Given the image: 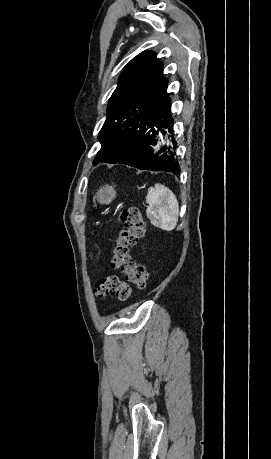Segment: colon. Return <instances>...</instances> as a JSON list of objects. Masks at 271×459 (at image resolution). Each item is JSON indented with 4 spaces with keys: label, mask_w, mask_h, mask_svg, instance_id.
I'll list each match as a JSON object with an SVG mask.
<instances>
[{
    "label": "colon",
    "mask_w": 271,
    "mask_h": 459,
    "mask_svg": "<svg viewBox=\"0 0 271 459\" xmlns=\"http://www.w3.org/2000/svg\"><path fill=\"white\" fill-rule=\"evenodd\" d=\"M119 222L122 225V229L119 232L113 250L112 267L120 270L125 279L133 286L144 288L148 272L142 264L137 263L130 255V248L144 235V218L139 209L130 207L121 211ZM94 293L98 298L115 296L124 301L129 298L131 288L117 275L112 274L102 277L96 282Z\"/></svg>",
    "instance_id": "1"
}]
</instances>
